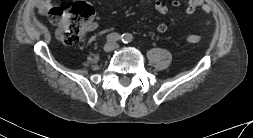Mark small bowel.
<instances>
[{
    "label": "small bowel",
    "mask_w": 253,
    "mask_h": 138,
    "mask_svg": "<svg viewBox=\"0 0 253 138\" xmlns=\"http://www.w3.org/2000/svg\"><path fill=\"white\" fill-rule=\"evenodd\" d=\"M153 3V6L155 8L156 11H158L159 13L165 14L168 12V6L164 3L163 0H151ZM172 7L174 9H178L181 6V3L179 0H174L172 2ZM52 6V0H37L36 2V9L40 14H45ZM197 9H201L205 15H209L211 12V9L208 5H206L203 0H189L188 1V5L185 8V12L187 14H192L194 13ZM206 24H210V21L207 20ZM95 25L91 24L89 26L90 28H94ZM168 30V25L166 22H160L157 24L156 26V31L160 34H163L165 32H167Z\"/></svg>",
    "instance_id": "1"
}]
</instances>
